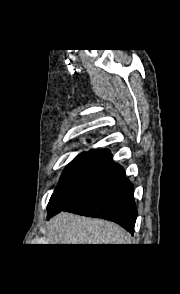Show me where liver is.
Here are the masks:
<instances>
[{
    "label": "liver",
    "mask_w": 180,
    "mask_h": 294,
    "mask_svg": "<svg viewBox=\"0 0 180 294\" xmlns=\"http://www.w3.org/2000/svg\"><path fill=\"white\" fill-rule=\"evenodd\" d=\"M50 244H129L131 237L118 225L72 213H60L46 224Z\"/></svg>",
    "instance_id": "1"
}]
</instances>
